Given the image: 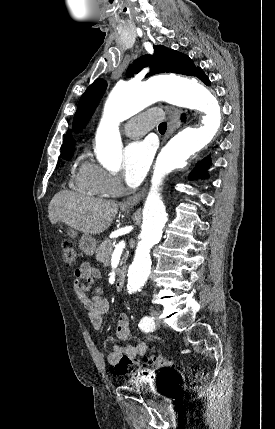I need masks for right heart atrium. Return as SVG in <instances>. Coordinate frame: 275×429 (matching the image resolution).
I'll return each mask as SVG.
<instances>
[{"label":"right heart atrium","instance_id":"d8ad5b80","mask_svg":"<svg viewBox=\"0 0 275 429\" xmlns=\"http://www.w3.org/2000/svg\"><path fill=\"white\" fill-rule=\"evenodd\" d=\"M99 180L102 187L109 195L118 194L122 190L120 179L116 175L101 168H99Z\"/></svg>","mask_w":275,"mask_h":429}]
</instances>
